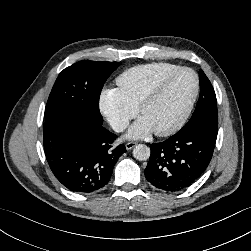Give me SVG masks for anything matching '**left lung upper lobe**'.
<instances>
[{
    "label": "left lung upper lobe",
    "instance_id": "obj_1",
    "mask_svg": "<svg viewBox=\"0 0 251 251\" xmlns=\"http://www.w3.org/2000/svg\"><path fill=\"white\" fill-rule=\"evenodd\" d=\"M200 96L197 107L187 124L181 129L185 130L199 124L218 126L217 100L213 86L203 70L199 71Z\"/></svg>",
    "mask_w": 251,
    "mask_h": 251
}]
</instances>
